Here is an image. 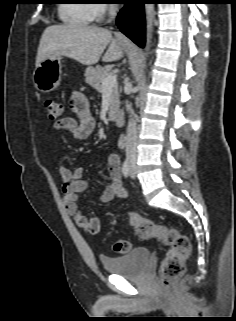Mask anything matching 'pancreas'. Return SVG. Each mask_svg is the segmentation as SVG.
<instances>
[{"label": "pancreas", "instance_id": "1", "mask_svg": "<svg viewBox=\"0 0 236 321\" xmlns=\"http://www.w3.org/2000/svg\"><path fill=\"white\" fill-rule=\"evenodd\" d=\"M112 72L108 67L96 66L95 68L89 67L85 72V81L91 87L96 89L99 93H102L104 90L103 79L108 75H111ZM119 91L120 88L116 84L112 88L110 107H109V116L113 117L115 112L119 109Z\"/></svg>", "mask_w": 236, "mask_h": 321}]
</instances>
